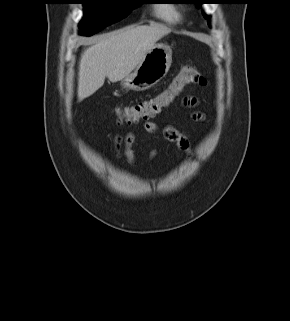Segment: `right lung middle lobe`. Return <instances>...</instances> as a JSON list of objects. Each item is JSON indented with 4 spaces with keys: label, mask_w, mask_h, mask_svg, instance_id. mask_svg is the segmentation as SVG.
I'll list each match as a JSON object with an SVG mask.
<instances>
[{
    "label": "right lung middle lobe",
    "mask_w": 290,
    "mask_h": 321,
    "mask_svg": "<svg viewBox=\"0 0 290 321\" xmlns=\"http://www.w3.org/2000/svg\"><path fill=\"white\" fill-rule=\"evenodd\" d=\"M138 0H82L85 17L80 22L79 34L91 36L101 29L126 17L139 7Z\"/></svg>",
    "instance_id": "obj_1"
}]
</instances>
